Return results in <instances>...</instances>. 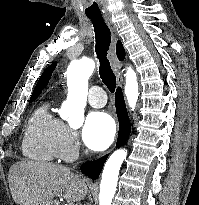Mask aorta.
I'll list each match as a JSON object with an SVG mask.
<instances>
[{"label":"aorta","mask_w":199,"mask_h":205,"mask_svg":"<svg viewBox=\"0 0 199 205\" xmlns=\"http://www.w3.org/2000/svg\"><path fill=\"white\" fill-rule=\"evenodd\" d=\"M95 69L90 58L73 60L67 69L68 96L63 104V115L71 126L84 121V107L87 101L88 79ZM125 95L129 106L134 109L139 97L138 81L135 71L128 68L126 73ZM125 149L116 150L107 160L100 183L99 205H111L116 192L120 167L126 159Z\"/></svg>","instance_id":"762f6f07"}]
</instances>
